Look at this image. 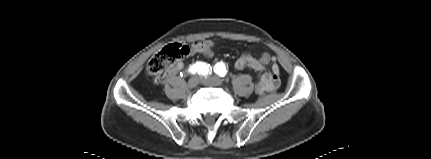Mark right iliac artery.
I'll use <instances>...</instances> for the list:
<instances>
[{"mask_svg": "<svg viewBox=\"0 0 431 159\" xmlns=\"http://www.w3.org/2000/svg\"><path fill=\"white\" fill-rule=\"evenodd\" d=\"M189 72L191 74L206 76L209 73H211V68H210V65H207L206 63L196 62L195 64L189 67Z\"/></svg>", "mask_w": 431, "mask_h": 159, "instance_id": "1", "label": "right iliac artery"}]
</instances>
